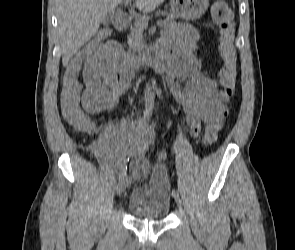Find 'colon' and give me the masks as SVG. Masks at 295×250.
Here are the masks:
<instances>
[{
  "label": "colon",
  "instance_id": "1",
  "mask_svg": "<svg viewBox=\"0 0 295 250\" xmlns=\"http://www.w3.org/2000/svg\"><path fill=\"white\" fill-rule=\"evenodd\" d=\"M212 17L217 24L218 48L223 61V67L220 72V82L223 90L231 96L236 82V49L234 45V19L228 5L223 1L215 2L212 5ZM108 32L100 31L83 50L89 54H97L105 46ZM82 86L75 77H66L64 79L60 102L65 120L74 128L80 131H89L93 128V123L89 118V113L97 112L96 109H87L81 100ZM222 125L219 123L210 124L204 132V142L212 144L217 139Z\"/></svg>",
  "mask_w": 295,
  "mask_h": 250
}]
</instances>
